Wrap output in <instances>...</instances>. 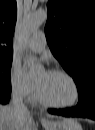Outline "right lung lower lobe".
<instances>
[{
    "instance_id": "1",
    "label": "right lung lower lobe",
    "mask_w": 95,
    "mask_h": 130,
    "mask_svg": "<svg viewBox=\"0 0 95 130\" xmlns=\"http://www.w3.org/2000/svg\"><path fill=\"white\" fill-rule=\"evenodd\" d=\"M11 95V87L0 89V103L6 104L8 103Z\"/></svg>"
}]
</instances>
